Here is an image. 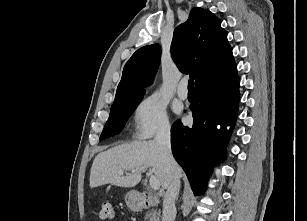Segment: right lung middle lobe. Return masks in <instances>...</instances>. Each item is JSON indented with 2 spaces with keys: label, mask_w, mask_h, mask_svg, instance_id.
Instances as JSON below:
<instances>
[{
  "label": "right lung middle lobe",
  "mask_w": 307,
  "mask_h": 221,
  "mask_svg": "<svg viewBox=\"0 0 307 221\" xmlns=\"http://www.w3.org/2000/svg\"><path fill=\"white\" fill-rule=\"evenodd\" d=\"M143 95L144 93L134 95L113 103L110 110L109 119L107 120L100 136L101 140L114 136L122 130L127 119L136 109Z\"/></svg>",
  "instance_id": "dd1d6c3e"
}]
</instances>
